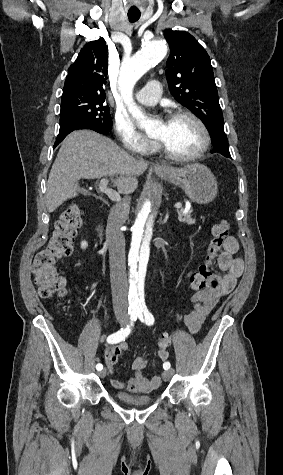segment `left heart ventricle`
Wrapping results in <instances>:
<instances>
[{"label": "left heart ventricle", "mask_w": 283, "mask_h": 475, "mask_svg": "<svg viewBox=\"0 0 283 475\" xmlns=\"http://www.w3.org/2000/svg\"><path fill=\"white\" fill-rule=\"evenodd\" d=\"M154 137L160 139L171 154L186 156L197 150L202 132L192 120L179 117L159 122Z\"/></svg>", "instance_id": "left-heart-ventricle-1"}]
</instances>
